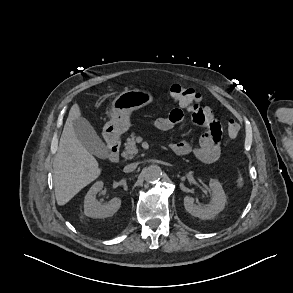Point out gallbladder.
<instances>
[{"instance_id":"bac80fb5","label":"gallbladder","mask_w":293,"mask_h":293,"mask_svg":"<svg viewBox=\"0 0 293 293\" xmlns=\"http://www.w3.org/2000/svg\"><path fill=\"white\" fill-rule=\"evenodd\" d=\"M73 128L78 140L91 154L105 158L106 146L88 120L83 117L74 119Z\"/></svg>"}]
</instances>
